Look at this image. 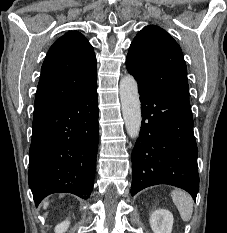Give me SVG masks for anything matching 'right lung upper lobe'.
I'll return each mask as SVG.
<instances>
[{"mask_svg":"<svg viewBox=\"0 0 227 233\" xmlns=\"http://www.w3.org/2000/svg\"><path fill=\"white\" fill-rule=\"evenodd\" d=\"M96 57L92 45L77 31L58 38L41 68L34 117L76 97L96 84Z\"/></svg>","mask_w":227,"mask_h":233,"instance_id":"right-lung-upper-lobe-1","label":"right lung upper lobe"}]
</instances>
